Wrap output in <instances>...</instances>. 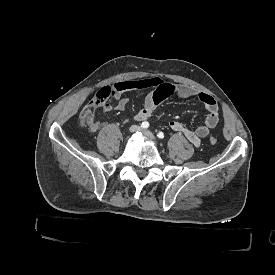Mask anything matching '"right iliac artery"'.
<instances>
[{
    "label": "right iliac artery",
    "mask_w": 275,
    "mask_h": 275,
    "mask_svg": "<svg viewBox=\"0 0 275 275\" xmlns=\"http://www.w3.org/2000/svg\"><path fill=\"white\" fill-rule=\"evenodd\" d=\"M141 127H142L143 129H146V128L149 127V123L146 122V121H144V122H142Z\"/></svg>",
    "instance_id": "82829eb1"
}]
</instances>
